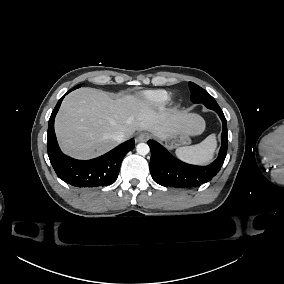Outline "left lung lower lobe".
Instances as JSON below:
<instances>
[{"instance_id": "0a47b994", "label": "left lung lower lobe", "mask_w": 284, "mask_h": 284, "mask_svg": "<svg viewBox=\"0 0 284 284\" xmlns=\"http://www.w3.org/2000/svg\"><path fill=\"white\" fill-rule=\"evenodd\" d=\"M207 108L214 110L222 120V145L217 159L208 166H194L186 164L173 157L158 142L149 140L151 150L150 172L158 184L165 187L191 188L197 187L211 180L221 169L228 147V133L226 118L216 102L203 103Z\"/></svg>"}]
</instances>
